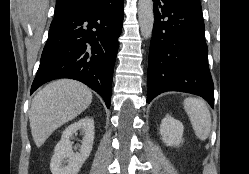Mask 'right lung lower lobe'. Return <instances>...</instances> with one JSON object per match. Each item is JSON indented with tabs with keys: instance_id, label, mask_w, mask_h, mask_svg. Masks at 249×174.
Wrapping results in <instances>:
<instances>
[{
	"instance_id": "obj_1",
	"label": "right lung lower lobe",
	"mask_w": 249,
	"mask_h": 174,
	"mask_svg": "<svg viewBox=\"0 0 249 174\" xmlns=\"http://www.w3.org/2000/svg\"><path fill=\"white\" fill-rule=\"evenodd\" d=\"M123 6L117 0L51 23L31 94L48 81L71 78L95 90L109 108Z\"/></svg>"
}]
</instances>
